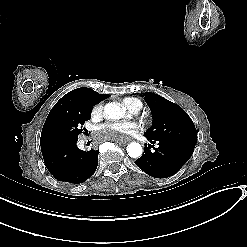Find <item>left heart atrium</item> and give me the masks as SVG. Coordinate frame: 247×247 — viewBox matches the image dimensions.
Here are the masks:
<instances>
[{
  "mask_svg": "<svg viewBox=\"0 0 247 247\" xmlns=\"http://www.w3.org/2000/svg\"><path fill=\"white\" fill-rule=\"evenodd\" d=\"M103 135L104 144L114 142L122 144L127 142V135L133 134L136 130V125L132 122L121 124L119 122H109L100 127Z\"/></svg>",
  "mask_w": 247,
  "mask_h": 247,
  "instance_id": "39dd6f15",
  "label": "left heart atrium"
}]
</instances>
